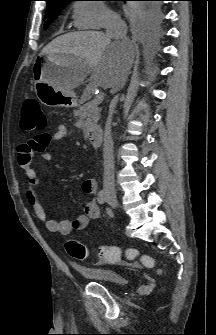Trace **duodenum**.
<instances>
[{
  "label": "duodenum",
  "mask_w": 216,
  "mask_h": 335,
  "mask_svg": "<svg viewBox=\"0 0 216 335\" xmlns=\"http://www.w3.org/2000/svg\"><path fill=\"white\" fill-rule=\"evenodd\" d=\"M87 137L94 147H100L102 143V129L95 126L89 129Z\"/></svg>",
  "instance_id": "1"
}]
</instances>
